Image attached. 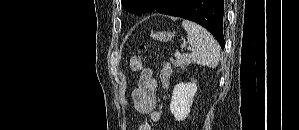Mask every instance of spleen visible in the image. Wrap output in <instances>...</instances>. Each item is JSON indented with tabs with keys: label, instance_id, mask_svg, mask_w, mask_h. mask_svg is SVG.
<instances>
[{
	"label": "spleen",
	"instance_id": "obj_1",
	"mask_svg": "<svg viewBox=\"0 0 299 130\" xmlns=\"http://www.w3.org/2000/svg\"><path fill=\"white\" fill-rule=\"evenodd\" d=\"M182 26L192 47V61L198 65L215 68L220 59V47L213 36L202 26L189 20H183Z\"/></svg>",
	"mask_w": 299,
	"mask_h": 130
}]
</instances>
